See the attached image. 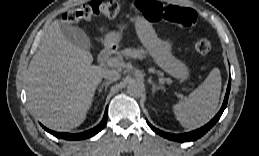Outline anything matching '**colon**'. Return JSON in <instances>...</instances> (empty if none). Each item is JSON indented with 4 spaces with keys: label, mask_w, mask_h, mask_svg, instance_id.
Returning <instances> with one entry per match:
<instances>
[{
    "label": "colon",
    "mask_w": 259,
    "mask_h": 156,
    "mask_svg": "<svg viewBox=\"0 0 259 156\" xmlns=\"http://www.w3.org/2000/svg\"><path fill=\"white\" fill-rule=\"evenodd\" d=\"M137 6L143 15L152 22L161 20L173 23L181 28L191 29L196 25L197 15L194 10L176 5H164L152 0H138ZM121 12V5L114 0H94L82 6L69 9L63 15L67 23H78L94 17H116ZM196 52L202 58L211 50L207 38H201L195 45Z\"/></svg>",
    "instance_id": "colon-1"
}]
</instances>
